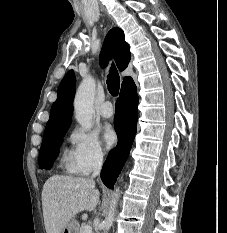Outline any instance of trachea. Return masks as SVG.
<instances>
[{"instance_id":"obj_1","label":"trachea","mask_w":227,"mask_h":233,"mask_svg":"<svg viewBox=\"0 0 227 233\" xmlns=\"http://www.w3.org/2000/svg\"><path fill=\"white\" fill-rule=\"evenodd\" d=\"M106 82L110 94L112 96H117L120 87V76L114 64L111 66L110 74L108 75Z\"/></svg>"}]
</instances>
